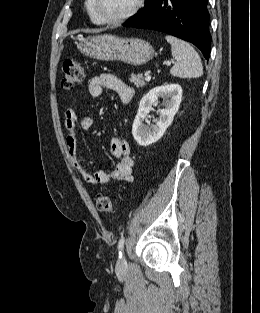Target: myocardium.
<instances>
[{
  "mask_svg": "<svg viewBox=\"0 0 260 313\" xmlns=\"http://www.w3.org/2000/svg\"><path fill=\"white\" fill-rule=\"evenodd\" d=\"M143 2H144V0H135L133 3V6L126 13H124L123 15H121L119 17H115V18H108V17H105L102 15V13L100 12L99 7H98V0H92V7H93V11H94L95 15L97 16V18L100 20L101 23H103V24H120V23L127 21L128 19H130L134 15H136L138 13V11L142 8Z\"/></svg>",
  "mask_w": 260,
  "mask_h": 313,
  "instance_id": "obj_1",
  "label": "myocardium"
}]
</instances>
